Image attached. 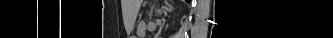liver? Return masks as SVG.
I'll list each match as a JSON object with an SVG mask.
<instances>
[{"label": "liver", "mask_w": 333, "mask_h": 38, "mask_svg": "<svg viewBox=\"0 0 333 38\" xmlns=\"http://www.w3.org/2000/svg\"><path fill=\"white\" fill-rule=\"evenodd\" d=\"M134 7H133V16L135 17L140 9L142 0H134Z\"/></svg>", "instance_id": "obj_1"}]
</instances>
